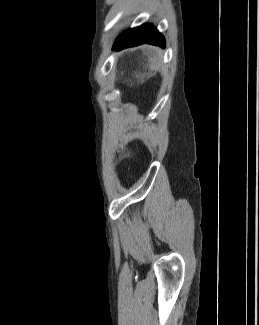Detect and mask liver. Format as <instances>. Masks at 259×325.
<instances>
[{
	"instance_id": "1",
	"label": "liver",
	"mask_w": 259,
	"mask_h": 325,
	"mask_svg": "<svg viewBox=\"0 0 259 325\" xmlns=\"http://www.w3.org/2000/svg\"><path fill=\"white\" fill-rule=\"evenodd\" d=\"M155 64H156V59H152L151 60V65H150V71L155 70ZM142 82H143V80H142Z\"/></svg>"
}]
</instances>
